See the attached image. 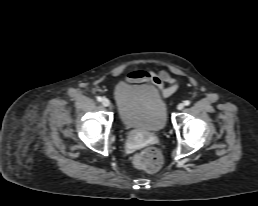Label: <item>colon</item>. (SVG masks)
<instances>
[{
    "label": "colon",
    "mask_w": 258,
    "mask_h": 206,
    "mask_svg": "<svg viewBox=\"0 0 258 206\" xmlns=\"http://www.w3.org/2000/svg\"><path fill=\"white\" fill-rule=\"evenodd\" d=\"M133 163L140 169L155 171L160 167L162 158L156 148L150 147L137 152L133 156Z\"/></svg>",
    "instance_id": "colon-1"
}]
</instances>
